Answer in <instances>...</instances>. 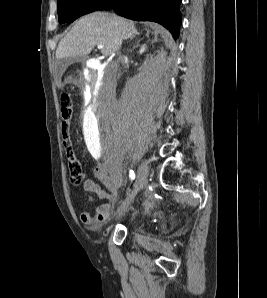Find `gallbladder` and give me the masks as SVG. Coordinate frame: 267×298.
<instances>
[{
	"instance_id": "1",
	"label": "gallbladder",
	"mask_w": 267,
	"mask_h": 298,
	"mask_svg": "<svg viewBox=\"0 0 267 298\" xmlns=\"http://www.w3.org/2000/svg\"><path fill=\"white\" fill-rule=\"evenodd\" d=\"M87 59L86 56L83 57H75V58H64L59 59L57 61V72L62 73L71 63H73L75 60H81L85 61Z\"/></svg>"
}]
</instances>
